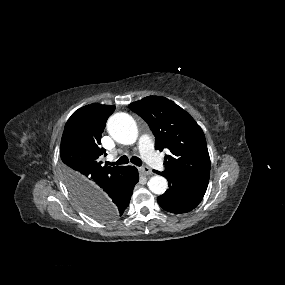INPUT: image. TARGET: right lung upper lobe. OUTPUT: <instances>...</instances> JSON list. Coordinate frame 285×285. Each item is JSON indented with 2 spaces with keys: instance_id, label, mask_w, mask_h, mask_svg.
Wrapping results in <instances>:
<instances>
[{
  "instance_id": "cb5924a9",
  "label": "right lung upper lobe",
  "mask_w": 285,
  "mask_h": 285,
  "mask_svg": "<svg viewBox=\"0 0 285 285\" xmlns=\"http://www.w3.org/2000/svg\"><path fill=\"white\" fill-rule=\"evenodd\" d=\"M115 106L91 104L75 111L67 121L61 139L60 155L67 185L82 204L117 180L127 166L103 165L101 134ZM106 155V154H105Z\"/></svg>"
}]
</instances>
